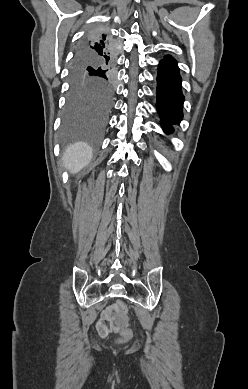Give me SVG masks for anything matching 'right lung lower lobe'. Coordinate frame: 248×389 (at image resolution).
I'll list each match as a JSON object with an SVG mask.
<instances>
[{"label":"right lung lower lobe","mask_w":248,"mask_h":389,"mask_svg":"<svg viewBox=\"0 0 248 389\" xmlns=\"http://www.w3.org/2000/svg\"><path fill=\"white\" fill-rule=\"evenodd\" d=\"M106 40V42H104ZM109 39L107 38V35L104 34V33H101V32H98V34L96 36L93 37L92 39V42H87L86 40L81 44L80 48L82 49V52L85 54V55H88V56H92V52L89 50L88 47H90V45L92 47H97L98 45H100L102 43V47H98L99 49L101 50H104V52H106V50L109 48ZM105 43V44H103Z\"/></svg>","instance_id":"98d812e1"}]
</instances>
